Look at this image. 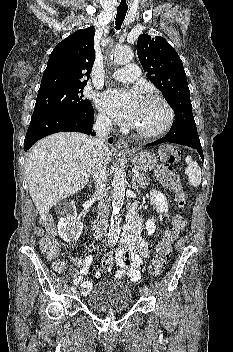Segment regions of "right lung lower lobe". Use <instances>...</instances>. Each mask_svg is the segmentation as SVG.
Wrapping results in <instances>:
<instances>
[{
    "mask_svg": "<svg viewBox=\"0 0 233 352\" xmlns=\"http://www.w3.org/2000/svg\"><path fill=\"white\" fill-rule=\"evenodd\" d=\"M93 122V108L32 115L24 140V150L27 151L39 139L57 132L76 131L95 135V132H92ZM108 141L112 143L113 139L110 138Z\"/></svg>",
    "mask_w": 233,
    "mask_h": 352,
    "instance_id": "1",
    "label": "right lung lower lobe"
}]
</instances>
